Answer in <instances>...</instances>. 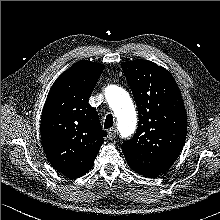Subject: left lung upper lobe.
<instances>
[{
  "label": "left lung upper lobe",
  "instance_id": "left-lung-upper-lobe-1",
  "mask_svg": "<svg viewBox=\"0 0 220 220\" xmlns=\"http://www.w3.org/2000/svg\"><path fill=\"white\" fill-rule=\"evenodd\" d=\"M121 67L139 112L138 129L122 150L132 170L155 177L172 166L183 148L187 117L182 96L173 76L151 61Z\"/></svg>",
  "mask_w": 220,
  "mask_h": 220
}]
</instances>
